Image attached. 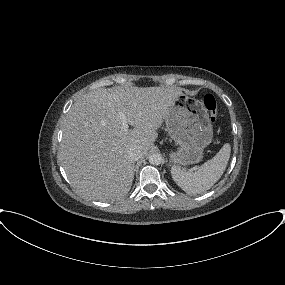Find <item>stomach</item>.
<instances>
[{
	"instance_id": "0dacf381",
	"label": "stomach",
	"mask_w": 285,
	"mask_h": 285,
	"mask_svg": "<svg viewBox=\"0 0 285 285\" xmlns=\"http://www.w3.org/2000/svg\"><path fill=\"white\" fill-rule=\"evenodd\" d=\"M165 123L178 146L177 151L170 154L171 161L181 166L199 163L213 137L209 114L202 102L181 94L172 103Z\"/></svg>"
}]
</instances>
